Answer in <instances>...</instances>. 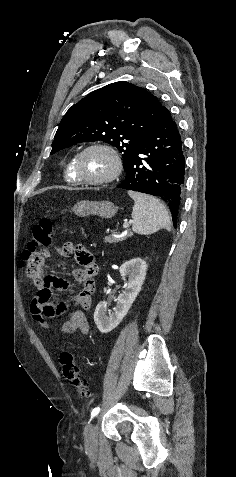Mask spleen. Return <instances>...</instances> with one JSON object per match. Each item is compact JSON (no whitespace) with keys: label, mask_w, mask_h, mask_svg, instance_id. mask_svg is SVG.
I'll return each mask as SVG.
<instances>
[{"label":"spleen","mask_w":236,"mask_h":477,"mask_svg":"<svg viewBox=\"0 0 236 477\" xmlns=\"http://www.w3.org/2000/svg\"><path fill=\"white\" fill-rule=\"evenodd\" d=\"M134 200L132 210V230L141 235H148L160 229L171 230V221L164 205L155 197L128 191Z\"/></svg>","instance_id":"spleen-1"}]
</instances>
